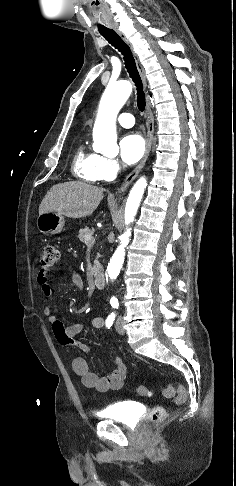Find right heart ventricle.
Returning a JSON list of instances; mask_svg holds the SVG:
<instances>
[{"label": "right heart ventricle", "instance_id": "1", "mask_svg": "<svg viewBox=\"0 0 236 486\" xmlns=\"http://www.w3.org/2000/svg\"><path fill=\"white\" fill-rule=\"evenodd\" d=\"M100 155L89 151L84 143L77 146L72 160V171L76 177L85 182L99 181L97 166Z\"/></svg>", "mask_w": 236, "mask_h": 486}]
</instances>
